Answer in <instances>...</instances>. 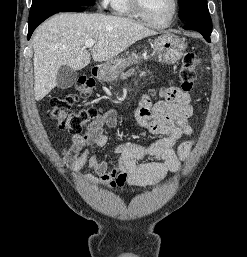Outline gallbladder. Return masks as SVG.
Wrapping results in <instances>:
<instances>
[{
	"label": "gallbladder",
	"instance_id": "bac80fb5",
	"mask_svg": "<svg viewBox=\"0 0 247 257\" xmlns=\"http://www.w3.org/2000/svg\"><path fill=\"white\" fill-rule=\"evenodd\" d=\"M77 77L78 73L76 70L67 65H63L57 72V86L61 89H67L75 83Z\"/></svg>",
	"mask_w": 247,
	"mask_h": 257
}]
</instances>
